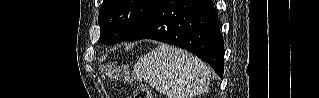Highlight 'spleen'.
<instances>
[{
    "label": "spleen",
    "mask_w": 319,
    "mask_h": 98,
    "mask_svg": "<svg viewBox=\"0 0 319 98\" xmlns=\"http://www.w3.org/2000/svg\"><path fill=\"white\" fill-rule=\"evenodd\" d=\"M133 74L137 80L147 82L168 98L200 95L210 82V71L204 62L165 44L142 56L135 64Z\"/></svg>",
    "instance_id": "obj_1"
}]
</instances>
